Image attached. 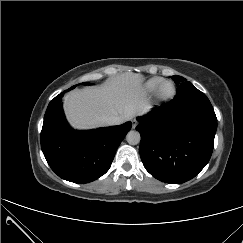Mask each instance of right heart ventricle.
<instances>
[{
    "mask_svg": "<svg viewBox=\"0 0 243 243\" xmlns=\"http://www.w3.org/2000/svg\"><path fill=\"white\" fill-rule=\"evenodd\" d=\"M164 82V79L162 77H152L148 79L142 86V92L146 95H151L158 87Z\"/></svg>",
    "mask_w": 243,
    "mask_h": 243,
    "instance_id": "1",
    "label": "right heart ventricle"
}]
</instances>
